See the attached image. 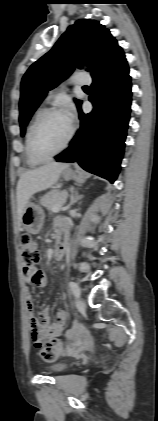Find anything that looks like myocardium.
<instances>
[{
    "label": "myocardium",
    "instance_id": "1",
    "mask_svg": "<svg viewBox=\"0 0 158 421\" xmlns=\"http://www.w3.org/2000/svg\"><path fill=\"white\" fill-rule=\"evenodd\" d=\"M57 113H64L61 109L57 108V107H52V108H48L45 109L40 116L37 118V120L35 121L34 125L32 126L31 132H30V136H29V148H30V152L32 154V156L40 161V162H46L51 160L52 158H54L55 156H57L58 154H60L61 152H63L70 144L71 140L74 137V133H75V128L71 123L70 126V132L69 135L67 137V139L65 140V142L62 144V146L57 149L55 152L49 154V155H42L40 154L35 146V138H36V134L40 128V126L43 124V122L52 114H57Z\"/></svg>",
    "mask_w": 158,
    "mask_h": 421
}]
</instances>
